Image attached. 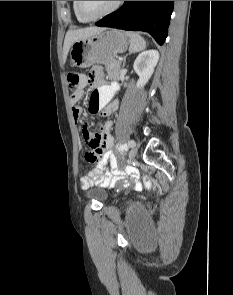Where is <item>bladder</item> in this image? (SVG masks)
Instances as JSON below:
<instances>
[{
	"label": "bladder",
	"instance_id": "31cf9c89",
	"mask_svg": "<svg viewBox=\"0 0 233 295\" xmlns=\"http://www.w3.org/2000/svg\"><path fill=\"white\" fill-rule=\"evenodd\" d=\"M87 196L98 201L104 202L107 199V193L102 188H92L87 191Z\"/></svg>",
	"mask_w": 233,
	"mask_h": 295
}]
</instances>
